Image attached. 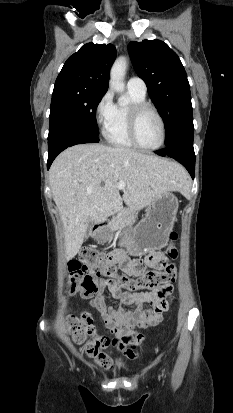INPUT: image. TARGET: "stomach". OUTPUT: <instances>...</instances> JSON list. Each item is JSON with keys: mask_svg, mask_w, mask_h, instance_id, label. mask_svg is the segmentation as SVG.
Listing matches in <instances>:
<instances>
[{"mask_svg": "<svg viewBox=\"0 0 233 413\" xmlns=\"http://www.w3.org/2000/svg\"><path fill=\"white\" fill-rule=\"evenodd\" d=\"M178 211V199L171 192L156 198L146 207L145 217L134 227L126 228L123 235L129 240L130 255L141 256L149 250H160L167 245ZM114 231L99 227L93 236L98 242L112 239Z\"/></svg>", "mask_w": 233, "mask_h": 413, "instance_id": "stomach-1", "label": "stomach"}]
</instances>
